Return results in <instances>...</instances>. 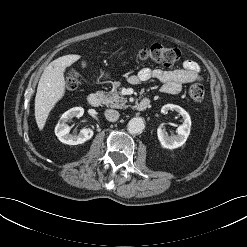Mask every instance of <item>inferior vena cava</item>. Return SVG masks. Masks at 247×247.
Wrapping results in <instances>:
<instances>
[{"label":"inferior vena cava","mask_w":247,"mask_h":247,"mask_svg":"<svg viewBox=\"0 0 247 247\" xmlns=\"http://www.w3.org/2000/svg\"><path fill=\"white\" fill-rule=\"evenodd\" d=\"M106 119L110 122H115L119 119V112L113 109H106L104 113Z\"/></svg>","instance_id":"inferior-vena-cava-1"}]
</instances>
